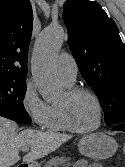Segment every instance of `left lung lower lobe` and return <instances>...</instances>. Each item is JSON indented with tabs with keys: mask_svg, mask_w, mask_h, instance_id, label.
<instances>
[{
	"mask_svg": "<svg viewBox=\"0 0 125 167\" xmlns=\"http://www.w3.org/2000/svg\"><path fill=\"white\" fill-rule=\"evenodd\" d=\"M112 130H119L125 132V123L117 124L112 127Z\"/></svg>",
	"mask_w": 125,
	"mask_h": 167,
	"instance_id": "1",
	"label": "left lung lower lobe"
}]
</instances>
